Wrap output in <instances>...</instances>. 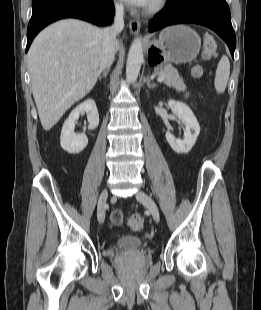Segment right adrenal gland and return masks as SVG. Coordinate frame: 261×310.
Masks as SVG:
<instances>
[{"mask_svg":"<svg viewBox=\"0 0 261 310\" xmlns=\"http://www.w3.org/2000/svg\"><path fill=\"white\" fill-rule=\"evenodd\" d=\"M108 72H109V69H105L103 72H102V71H99L98 78L101 79V76H103V77L106 78Z\"/></svg>","mask_w":261,"mask_h":310,"instance_id":"1","label":"right adrenal gland"}]
</instances>
